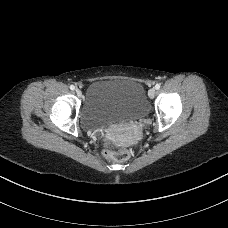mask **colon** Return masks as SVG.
I'll return each instance as SVG.
<instances>
[{"instance_id": "1", "label": "colon", "mask_w": 228, "mask_h": 228, "mask_svg": "<svg viewBox=\"0 0 228 228\" xmlns=\"http://www.w3.org/2000/svg\"><path fill=\"white\" fill-rule=\"evenodd\" d=\"M104 155L109 159L122 161L131 158L133 152L130 149L122 147L113 141H107Z\"/></svg>"}]
</instances>
